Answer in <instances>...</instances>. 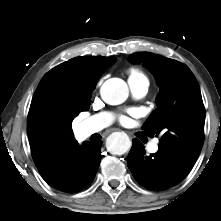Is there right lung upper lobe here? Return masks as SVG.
Returning a JSON list of instances; mask_svg holds the SVG:
<instances>
[{"label":"right lung upper lobe","instance_id":"1","mask_svg":"<svg viewBox=\"0 0 221 221\" xmlns=\"http://www.w3.org/2000/svg\"><path fill=\"white\" fill-rule=\"evenodd\" d=\"M115 57L81 56L51 69L40 81L29 110L27 132L38 170L77 141L73 119L90 106L91 93Z\"/></svg>","mask_w":221,"mask_h":221}]
</instances>
